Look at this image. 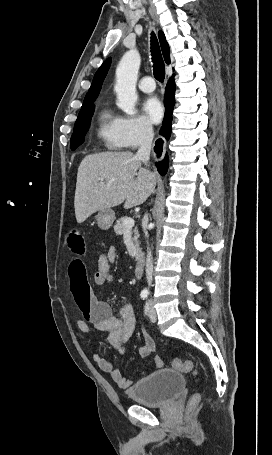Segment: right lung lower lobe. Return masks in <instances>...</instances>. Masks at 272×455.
Instances as JSON below:
<instances>
[{
    "label": "right lung lower lobe",
    "mask_w": 272,
    "mask_h": 455,
    "mask_svg": "<svg viewBox=\"0 0 272 455\" xmlns=\"http://www.w3.org/2000/svg\"><path fill=\"white\" fill-rule=\"evenodd\" d=\"M174 92H175L174 78H170V80L166 86V92H165V97H164L166 114L164 117L163 126L160 131V133L164 137H166V139H169V137L171 135L172 113H173V107H174V103H175ZM168 164H169V160H168L167 155L161 162L156 163L158 171L161 175L166 174V172L168 170Z\"/></svg>",
    "instance_id": "obj_1"
}]
</instances>
